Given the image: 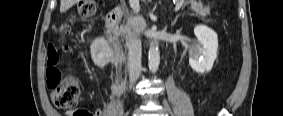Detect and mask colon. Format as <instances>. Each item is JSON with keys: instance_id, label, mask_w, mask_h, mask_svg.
Instances as JSON below:
<instances>
[{"instance_id": "1", "label": "colon", "mask_w": 283, "mask_h": 116, "mask_svg": "<svg viewBox=\"0 0 283 116\" xmlns=\"http://www.w3.org/2000/svg\"><path fill=\"white\" fill-rule=\"evenodd\" d=\"M97 10L96 0H81L78 2L73 18H87L95 14ZM61 44L54 52L58 54L68 53L70 48L65 43L70 32L69 22H63L56 27ZM47 76L46 84L51 89V98L54 105L58 108L65 109L75 105L80 99V89L78 81L74 76L62 77L60 74L56 76ZM72 116H91V111L85 108L74 109Z\"/></svg>"}]
</instances>
